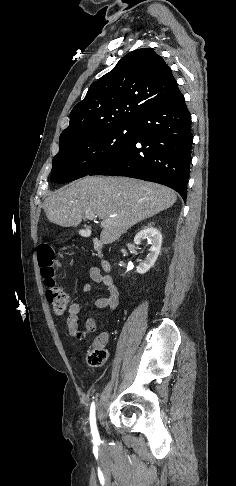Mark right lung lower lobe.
I'll list each match as a JSON object with an SVG mask.
<instances>
[{
	"instance_id": "1",
	"label": "right lung lower lobe",
	"mask_w": 236,
	"mask_h": 486,
	"mask_svg": "<svg viewBox=\"0 0 236 486\" xmlns=\"http://www.w3.org/2000/svg\"><path fill=\"white\" fill-rule=\"evenodd\" d=\"M135 124L134 140L89 175L127 176L160 183L186 201L193 135L184 96L150 108Z\"/></svg>"
}]
</instances>
